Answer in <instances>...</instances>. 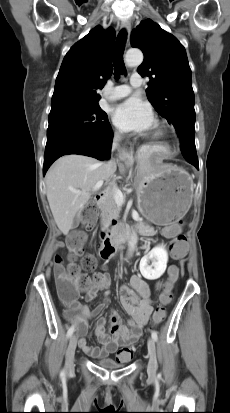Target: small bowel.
Returning a JSON list of instances; mask_svg holds the SVG:
<instances>
[{
	"label": "small bowel",
	"instance_id": "1",
	"mask_svg": "<svg viewBox=\"0 0 230 413\" xmlns=\"http://www.w3.org/2000/svg\"><path fill=\"white\" fill-rule=\"evenodd\" d=\"M179 231L178 226L168 222L165 225L163 234L166 237H173ZM185 251V250H184ZM100 277L86 294L87 301L96 299L100 292H104V299L93 311H90L86 304L74 301L65 315L67 320L76 328L79 347L90 357L101 359L116 353L120 362H126L124 349L135 342L142 334V328L150 319L153 307L150 301L151 289L148 283L140 276L135 275L131 278V287L123 286L120 290V302L123 309L131 317L128 327L121 323L119 315L115 311L110 313V329L106 331V320L99 317L94 328V335L97 337L101 347L88 345L85 335L88 331V321L93 316H98L108 303L110 280L104 272L97 273ZM156 287L162 288L161 281L157 282Z\"/></svg>",
	"mask_w": 230,
	"mask_h": 413
}]
</instances>
